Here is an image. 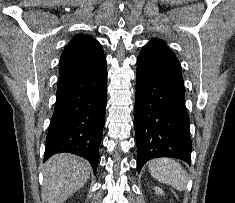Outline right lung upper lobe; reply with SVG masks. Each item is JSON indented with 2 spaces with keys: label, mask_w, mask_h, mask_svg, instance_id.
Listing matches in <instances>:
<instances>
[{
  "label": "right lung upper lobe",
  "mask_w": 235,
  "mask_h": 203,
  "mask_svg": "<svg viewBox=\"0 0 235 203\" xmlns=\"http://www.w3.org/2000/svg\"><path fill=\"white\" fill-rule=\"evenodd\" d=\"M103 55L101 44L93 37L76 35L61 55L60 78L83 69Z\"/></svg>",
  "instance_id": "cb5924a9"
}]
</instances>
